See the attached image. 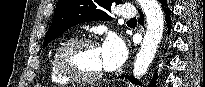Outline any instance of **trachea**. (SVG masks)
<instances>
[{"label": "trachea", "mask_w": 205, "mask_h": 87, "mask_svg": "<svg viewBox=\"0 0 205 87\" xmlns=\"http://www.w3.org/2000/svg\"><path fill=\"white\" fill-rule=\"evenodd\" d=\"M128 22H136V18H132Z\"/></svg>", "instance_id": "obj_1"}]
</instances>
